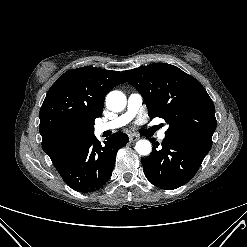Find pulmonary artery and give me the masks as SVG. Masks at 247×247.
<instances>
[{"instance_id":"e3ab8cb5","label":"pulmonary artery","mask_w":247,"mask_h":247,"mask_svg":"<svg viewBox=\"0 0 247 247\" xmlns=\"http://www.w3.org/2000/svg\"><path fill=\"white\" fill-rule=\"evenodd\" d=\"M143 99L141 94L134 92L128 96L127 108L124 113L107 122L99 123L95 126V131L101 134L105 131L115 130L128 124L140 111L142 107ZM166 136V129H162L158 132V138L163 140Z\"/></svg>"}]
</instances>
